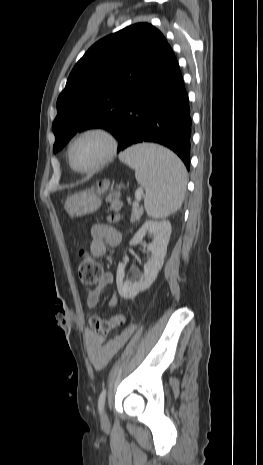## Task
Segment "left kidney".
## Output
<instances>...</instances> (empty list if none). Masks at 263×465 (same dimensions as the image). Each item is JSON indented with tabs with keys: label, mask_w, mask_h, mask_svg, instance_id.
Segmentation results:
<instances>
[{
	"label": "left kidney",
	"mask_w": 263,
	"mask_h": 465,
	"mask_svg": "<svg viewBox=\"0 0 263 465\" xmlns=\"http://www.w3.org/2000/svg\"><path fill=\"white\" fill-rule=\"evenodd\" d=\"M153 236V240L148 245L151 253L150 258L144 264V274L138 281H123L125 264L120 263L117 268L116 283L120 296L124 299L134 298L140 291L148 289L155 281L158 272L161 270L164 257L167 252V245L171 235V224L168 221H147L136 232L130 245L140 243L146 234Z\"/></svg>",
	"instance_id": "1"
}]
</instances>
